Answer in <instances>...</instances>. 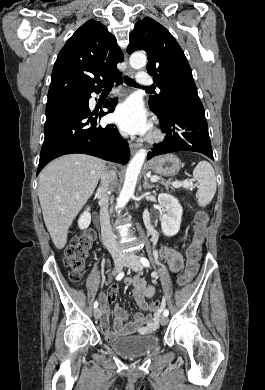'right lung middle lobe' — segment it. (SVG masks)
Here are the masks:
<instances>
[{
    "instance_id": "dd1d6c3e",
    "label": "right lung middle lobe",
    "mask_w": 265,
    "mask_h": 390,
    "mask_svg": "<svg viewBox=\"0 0 265 390\" xmlns=\"http://www.w3.org/2000/svg\"><path fill=\"white\" fill-rule=\"evenodd\" d=\"M89 94H83V95H75V96H70V97H65L62 99L54 100V101H62V100H81L85 99ZM53 102V101H50Z\"/></svg>"
}]
</instances>
